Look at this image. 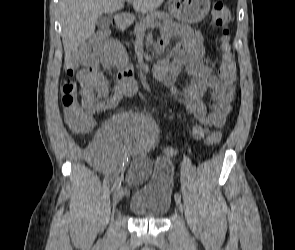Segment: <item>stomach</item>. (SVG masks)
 Returning <instances> with one entry per match:
<instances>
[{
    "label": "stomach",
    "mask_w": 295,
    "mask_h": 250,
    "mask_svg": "<svg viewBox=\"0 0 295 250\" xmlns=\"http://www.w3.org/2000/svg\"><path fill=\"white\" fill-rule=\"evenodd\" d=\"M168 9L172 16L184 22L201 21L210 10V0H169Z\"/></svg>",
    "instance_id": "1"
}]
</instances>
